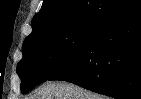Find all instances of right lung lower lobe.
Wrapping results in <instances>:
<instances>
[{
	"instance_id": "1",
	"label": "right lung lower lobe",
	"mask_w": 141,
	"mask_h": 99,
	"mask_svg": "<svg viewBox=\"0 0 141 99\" xmlns=\"http://www.w3.org/2000/svg\"><path fill=\"white\" fill-rule=\"evenodd\" d=\"M48 80L115 99H141V0L102 19L86 46Z\"/></svg>"
}]
</instances>
